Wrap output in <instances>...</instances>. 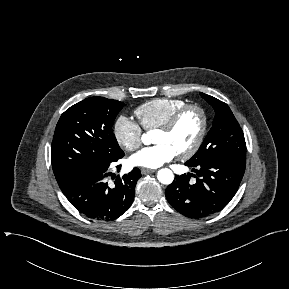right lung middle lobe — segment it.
Returning <instances> with one entry per match:
<instances>
[{
    "label": "right lung middle lobe",
    "mask_w": 289,
    "mask_h": 289,
    "mask_svg": "<svg viewBox=\"0 0 289 289\" xmlns=\"http://www.w3.org/2000/svg\"><path fill=\"white\" fill-rule=\"evenodd\" d=\"M124 106L117 100L90 97L61 115L51 146V163L58 184L80 170L111 163L123 153L112 126Z\"/></svg>",
    "instance_id": "dd1d6c3e"
}]
</instances>
